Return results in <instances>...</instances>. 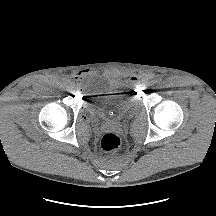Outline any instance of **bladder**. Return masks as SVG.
<instances>
[{
    "instance_id": "31cf9c89",
    "label": "bladder",
    "mask_w": 216,
    "mask_h": 216,
    "mask_svg": "<svg viewBox=\"0 0 216 216\" xmlns=\"http://www.w3.org/2000/svg\"><path fill=\"white\" fill-rule=\"evenodd\" d=\"M88 89L91 109L106 119H113L118 115L126 116L136 108L137 100L130 94L109 91L103 86Z\"/></svg>"
}]
</instances>
